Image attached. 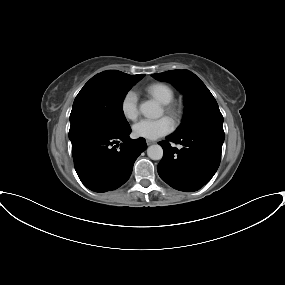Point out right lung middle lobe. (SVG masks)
Wrapping results in <instances>:
<instances>
[{"mask_svg": "<svg viewBox=\"0 0 285 285\" xmlns=\"http://www.w3.org/2000/svg\"><path fill=\"white\" fill-rule=\"evenodd\" d=\"M140 79H103L88 81L76 96L70 114L69 138L90 129L119 133L130 126L122 102Z\"/></svg>", "mask_w": 285, "mask_h": 285, "instance_id": "1", "label": "right lung middle lobe"}]
</instances>
